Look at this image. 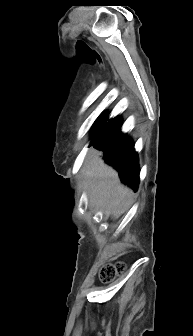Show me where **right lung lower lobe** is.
<instances>
[{"label": "right lung lower lobe", "instance_id": "98d812e1", "mask_svg": "<svg viewBox=\"0 0 193 336\" xmlns=\"http://www.w3.org/2000/svg\"><path fill=\"white\" fill-rule=\"evenodd\" d=\"M120 128L121 119L116 117L106 124L103 133L90 145L104 151L105 162L118 170L121 181L136 191L139 184L138 156L132 139L122 134Z\"/></svg>", "mask_w": 193, "mask_h": 336}]
</instances>
